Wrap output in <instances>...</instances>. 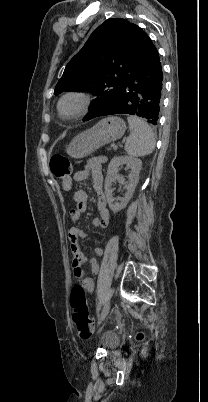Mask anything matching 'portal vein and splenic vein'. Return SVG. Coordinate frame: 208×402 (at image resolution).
I'll list each match as a JSON object with an SVG mask.
<instances>
[{"instance_id": "portal-vein-and-splenic-vein-1", "label": "portal vein and splenic vein", "mask_w": 208, "mask_h": 402, "mask_svg": "<svg viewBox=\"0 0 208 402\" xmlns=\"http://www.w3.org/2000/svg\"><path fill=\"white\" fill-rule=\"evenodd\" d=\"M112 148L116 150L117 145H116V144H113V145H112Z\"/></svg>"}]
</instances>
